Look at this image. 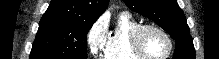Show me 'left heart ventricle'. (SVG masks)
<instances>
[{"instance_id": "1", "label": "left heart ventricle", "mask_w": 219, "mask_h": 59, "mask_svg": "<svg viewBox=\"0 0 219 59\" xmlns=\"http://www.w3.org/2000/svg\"><path fill=\"white\" fill-rule=\"evenodd\" d=\"M142 47L151 57L164 56L169 48L166 38L156 30H147L142 36Z\"/></svg>"}]
</instances>
